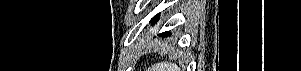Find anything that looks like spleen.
Here are the masks:
<instances>
[{
  "label": "spleen",
  "mask_w": 301,
  "mask_h": 71,
  "mask_svg": "<svg viewBox=\"0 0 301 71\" xmlns=\"http://www.w3.org/2000/svg\"><path fill=\"white\" fill-rule=\"evenodd\" d=\"M151 71H179V68L175 63L165 61L152 66Z\"/></svg>",
  "instance_id": "3e777b00"
}]
</instances>
